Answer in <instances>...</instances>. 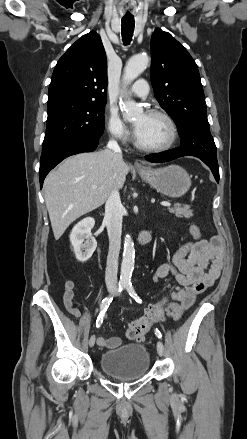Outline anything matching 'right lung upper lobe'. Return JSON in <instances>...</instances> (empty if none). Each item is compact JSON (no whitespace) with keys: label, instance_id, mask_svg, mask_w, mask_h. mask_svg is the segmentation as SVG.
<instances>
[{"label":"right lung upper lobe","instance_id":"cb5924a9","mask_svg":"<svg viewBox=\"0 0 247 439\" xmlns=\"http://www.w3.org/2000/svg\"><path fill=\"white\" fill-rule=\"evenodd\" d=\"M106 53L91 31L77 40L57 62L48 91V105L65 100L106 101Z\"/></svg>","mask_w":247,"mask_h":439}]
</instances>
